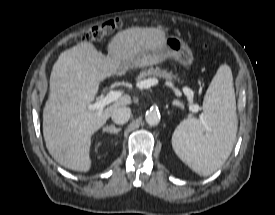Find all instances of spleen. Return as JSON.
I'll use <instances>...</instances> for the list:
<instances>
[{
    "label": "spleen",
    "instance_id": "obj_1",
    "mask_svg": "<svg viewBox=\"0 0 275 215\" xmlns=\"http://www.w3.org/2000/svg\"><path fill=\"white\" fill-rule=\"evenodd\" d=\"M201 119L182 121L172 136L178 157L194 172L208 176L228 159L237 133L236 100L231 69L224 64L212 79Z\"/></svg>",
    "mask_w": 275,
    "mask_h": 215
}]
</instances>
